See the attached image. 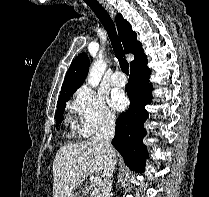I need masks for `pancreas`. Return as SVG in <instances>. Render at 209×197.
Listing matches in <instances>:
<instances>
[{
  "label": "pancreas",
  "mask_w": 209,
  "mask_h": 197,
  "mask_svg": "<svg viewBox=\"0 0 209 197\" xmlns=\"http://www.w3.org/2000/svg\"><path fill=\"white\" fill-rule=\"evenodd\" d=\"M100 190H101V185H95L93 182L90 184H87L82 192L85 196H90V197H100Z\"/></svg>",
  "instance_id": "cf45deb5"
}]
</instances>
